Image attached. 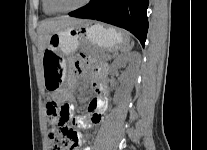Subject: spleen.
Masks as SVG:
<instances>
[{
    "mask_svg": "<svg viewBox=\"0 0 207 150\" xmlns=\"http://www.w3.org/2000/svg\"><path fill=\"white\" fill-rule=\"evenodd\" d=\"M133 46H134V42H131V43H128V44H126L124 47H122L120 50H121V52H123V53H127V52H129L132 48H133Z\"/></svg>",
    "mask_w": 207,
    "mask_h": 150,
    "instance_id": "1",
    "label": "spleen"
}]
</instances>
